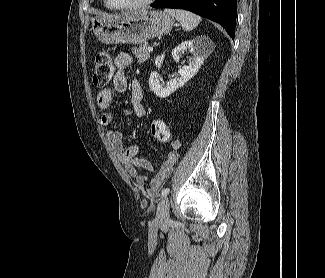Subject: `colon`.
<instances>
[{
	"label": "colon",
	"mask_w": 325,
	"mask_h": 278,
	"mask_svg": "<svg viewBox=\"0 0 325 278\" xmlns=\"http://www.w3.org/2000/svg\"><path fill=\"white\" fill-rule=\"evenodd\" d=\"M113 71V64L109 54L106 52L98 53L94 63L93 84L99 88L107 86L112 80ZM150 129L157 140L164 143L170 141V131L163 120H152Z\"/></svg>",
	"instance_id": "1"
}]
</instances>
